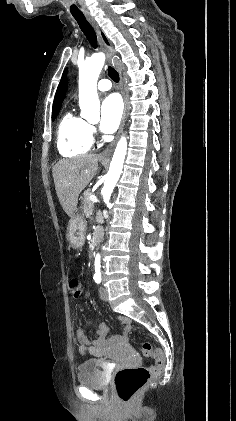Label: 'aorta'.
<instances>
[{
	"mask_svg": "<svg viewBox=\"0 0 236 421\" xmlns=\"http://www.w3.org/2000/svg\"><path fill=\"white\" fill-rule=\"evenodd\" d=\"M105 54L104 52H95L90 56L89 60H85L83 66H80L79 70V102L80 108H84L87 102H95L98 98L97 94V80L98 76L104 66ZM127 152V138L121 136L116 144L112 160L110 162V168L107 172V180L104 182L102 188V194L104 202L109 204L110 196L113 192V188L122 172L125 154ZM101 259L100 255H96L95 259V271H100Z\"/></svg>",
	"mask_w": 236,
	"mask_h": 421,
	"instance_id": "762f6f07",
	"label": "aorta"
}]
</instances>
